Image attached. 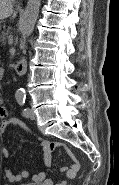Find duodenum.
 Here are the masks:
<instances>
[{
    "mask_svg": "<svg viewBox=\"0 0 119 185\" xmlns=\"http://www.w3.org/2000/svg\"><path fill=\"white\" fill-rule=\"evenodd\" d=\"M15 70L18 75H24L27 72V61L25 59H19L15 63Z\"/></svg>",
    "mask_w": 119,
    "mask_h": 185,
    "instance_id": "obj_1",
    "label": "duodenum"
}]
</instances>
